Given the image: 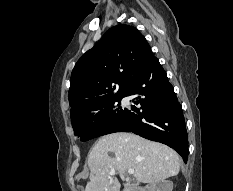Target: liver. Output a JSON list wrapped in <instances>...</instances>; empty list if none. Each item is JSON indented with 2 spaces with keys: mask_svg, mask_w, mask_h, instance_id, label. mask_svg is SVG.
Masks as SVG:
<instances>
[{
  "mask_svg": "<svg viewBox=\"0 0 233 191\" xmlns=\"http://www.w3.org/2000/svg\"><path fill=\"white\" fill-rule=\"evenodd\" d=\"M88 166L90 181L85 191H120L121 184L110 171H117L124 181L127 170L134 169L137 182L155 184L178 175L180 157L164 144L118 132L102 136L94 144L88 154Z\"/></svg>",
  "mask_w": 233,
  "mask_h": 191,
  "instance_id": "liver-1",
  "label": "liver"
}]
</instances>
